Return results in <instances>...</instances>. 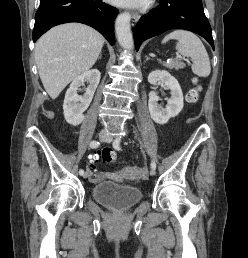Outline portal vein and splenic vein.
Returning a JSON list of instances; mask_svg holds the SVG:
<instances>
[{"mask_svg":"<svg viewBox=\"0 0 248 258\" xmlns=\"http://www.w3.org/2000/svg\"><path fill=\"white\" fill-rule=\"evenodd\" d=\"M178 58L182 59V56H177Z\"/></svg>","mask_w":248,"mask_h":258,"instance_id":"18ae733b","label":"portal vein and splenic vein"}]
</instances>
